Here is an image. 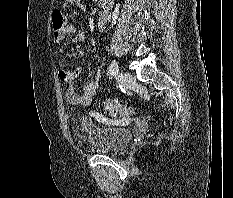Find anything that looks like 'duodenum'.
<instances>
[{
    "label": "duodenum",
    "instance_id": "1",
    "mask_svg": "<svg viewBox=\"0 0 233 198\" xmlns=\"http://www.w3.org/2000/svg\"><path fill=\"white\" fill-rule=\"evenodd\" d=\"M114 0H101V10L102 13H106L112 6Z\"/></svg>",
    "mask_w": 233,
    "mask_h": 198
}]
</instances>
